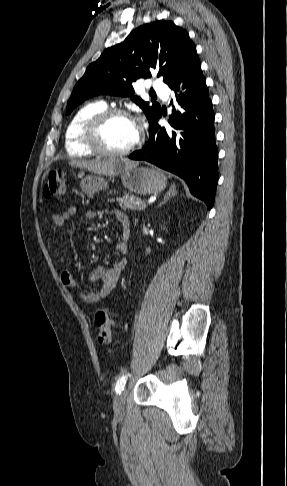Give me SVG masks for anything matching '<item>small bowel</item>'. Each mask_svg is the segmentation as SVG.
<instances>
[{"instance_id": "c3829d8e", "label": "small bowel", "mask_w": 287, "mask_h": 486, "mask_svg": "<svg viewBox=\"0 0 287 486\" xmlns=\"http://www.w3.org/2000/svg\"><path fill=\"white\" fill-rule=\"evenodd\" d=\"M78 213L79 209L76 206H71L62 213L53 214L51 216V221L55 226L63 227L66 224H71ZM115 215L122 226L121 236L115 248L119 254L123 255L128 251L131 235L130 219L126 213L120 210H116ZM85 217L87 219H95L97 217V213L93 210H88L85 212ZM60 263L62 265L60 279L63 286L72 289H80L81 287L92 283H100V288L97 291L84 292L79 290L77 293V298L79 300L85 303L93 304L110 295V293L116 287L127 261L125 258H119L110 267L99 266L83 280H77L74 278L67 265V257L65 254L60 256Z\"/></svg>"}]
</instances>
